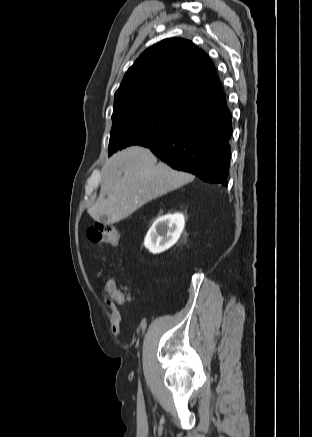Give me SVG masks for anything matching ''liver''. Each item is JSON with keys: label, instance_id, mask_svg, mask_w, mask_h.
<instances>
[{"label": "liver", "instance_id": "1", "mask_svg": "<svg viewBox=\"0 0 312 437\" xmlns=\"http://www.w3.org/2000/svg\"><path fill=\"white\" fill-rule=\"evenodd\" d=\"M193 180V175L158 162L149 149L128 147L109 159L99 197L88 213L97 222L117 223L147 202Z\"/></svg>", "mask_w": 312, "mask_h": 437}]
</instances>
